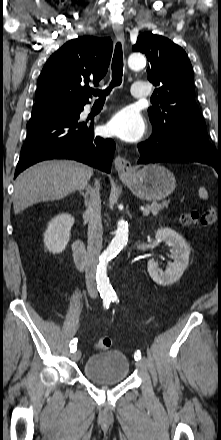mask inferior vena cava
Here are the masks:
<instances>
[{
    "instance_id": "obj_1",
    "label": "inferior vena cava",
    "mask_w": 221,
    "mask_h": 440,
    "mask_svg": "<svg viewBox=\"0 0 221 440\" xmlns=\"http://www.w3.org/2000/svg\"><path fill=\"white\" fill-rule=\"evenodd\" d=\"M99 182H95L85 215L88 219V245L86 264V285L89 291H95L96 272L99 263V255L102 249L103 227L101 221V200L99 193Z\"/></svg>"
}]
</instances>
